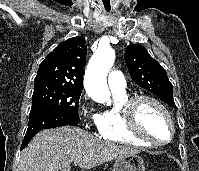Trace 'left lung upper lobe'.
<instances>
[{
  "mask_svg": "<svg viewBox=\"0 0 199 171\" xmlns=\"http://www.w3.org/2000/svg\"><path fill=\"white\" fill-rule=\"evenodd\" d=\"M126 65L133 81L155 94L164 103L174 105L173 85L165 69L153 59L146 48L130 44L124 54Z\"/></svg>",
  "mask_w": 199,
  "mask_h": 171,
  "instance_id": "obj_1",
  "label": "left lung upper lobe"
}]
</instances>
